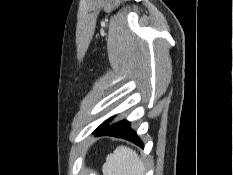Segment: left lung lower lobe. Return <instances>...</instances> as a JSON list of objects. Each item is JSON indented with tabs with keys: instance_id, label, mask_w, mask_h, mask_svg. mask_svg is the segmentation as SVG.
Here are the masks:
<instances>
[{
	"instance_id": "0a47b994",
	"label": "left lung lower lobe",
	"mask_w": 233,
	"mask_h": 175,
	"mask_svg": "<svg viewBox=\"0 0 233 175\" xmlns=\"http://www.w3.org/2000/svg\"><path fill=\"white\" fill-rule=\"evenodd\" d=\"M112 118H109L106 120L103 124H101L98 127L99 135H109L114 136L118 138H124L126 140H129L139 146L143 147V144L140 140V138L136 135V133L130 129L129 125L130 123L126 120L119 121L117 123H114L111 126H107V123L110 122Z\"/></svg>"
}]
</instances>
